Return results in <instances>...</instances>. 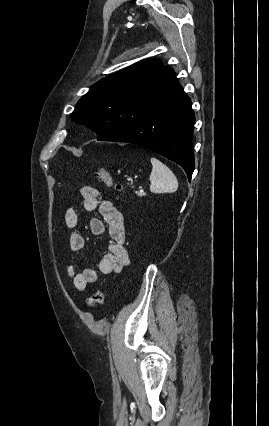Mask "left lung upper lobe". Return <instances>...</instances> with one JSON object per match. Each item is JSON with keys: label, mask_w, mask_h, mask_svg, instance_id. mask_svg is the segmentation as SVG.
I'll return each instance as SVG.
<instances>
[{"label": "left lung upper lobe", "mask_w": 269, "mask_h": 426, "mask_svg": "<svg viewBox=\"0 0 269 426\" xmlns=\"http://www.w3.org/2000/svg\"><path fill=\"white\" fill-rule=\"evenodd\" d=\"M163 68L159 60L145 59L101 79L78 101L70 117L94 130L98 141L109 138L133 95L149 85Z\"/></svg>", "instance_id": "1"}]
</instances>
